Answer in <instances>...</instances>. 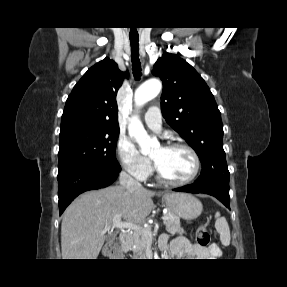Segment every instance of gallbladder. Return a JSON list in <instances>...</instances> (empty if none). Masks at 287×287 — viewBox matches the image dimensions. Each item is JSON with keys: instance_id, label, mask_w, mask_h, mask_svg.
<instances>
[{"instance_id": "obj_1", "label": "gallbladder", "mask_w": 287, "mask_h": 287, "mask_svg": "<svg viewBox=\"0 0 287 287\" xmlns=\"http://www.w3.org/2000/svg\"><path fill=\"white\" fill-rule=\"evenodd\" d=\"M115 237V234L114 233H110L106 236V240H110V239H113Z\"/></svg>"}]
</instances>
